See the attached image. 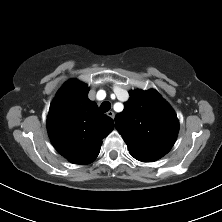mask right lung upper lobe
<instances>
[{"mask_svg": "<svg viewBox=\"0 0 222 222\" xmlns=\"http://www.w3.org/2000/svg\"><path fill=\"white\" fill-rule=\"evenodd\" d=\"M88 92L86 84L68 80L53 100L47 118L53 146L74 164L93 162L102 139L114 128L113 119L98 110L96 103L88 99Z\"/></svg>", "mask_w": 222, "mask_h": 222, "instance_id": "1", "label": "right lung upper lobe"}]
</instances>
